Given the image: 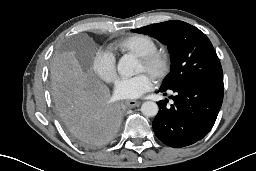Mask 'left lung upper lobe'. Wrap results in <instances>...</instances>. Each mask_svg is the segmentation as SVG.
Listing matches in <instances>:
<instances>
[{"label": "left lung upper lobe", "instance_id": "1", "mask_svg": "<svg viewBox=\"0 0 256 171\" xmlns=\"http://www.w3.org/2000/svg\"><path fill=\"white\" fill-rule=\"evenodd\" d=\"M132 31L158 39L170 51L172 68L160 89H171L193 79L223 81L218 56L208 37L198 28L183 21L172 20Z\"/></svg>", "mask_w": 256, "mask_h": 171}]
</instances>
